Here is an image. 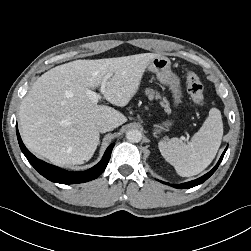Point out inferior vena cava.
Here are the masks:
<instances>
[{
    "instance_id": "inferior-vena-cava-1",
    "label": "inferior vena cava",
    "mask_w": 251,
    "mask_h": 251,
    "mask_svg": "<svg viewBox=\"0 0 251 251\" xmlns=\"http://www.w3.org/2000/svg\"><path fill=\"white\" fill-rule=\"evenodd\" d=\"M97 128L99 132L105 133L107 131H111L115 128L114 124L106 119H99L97 121Z\"/></svg>"
}]
</instances>
